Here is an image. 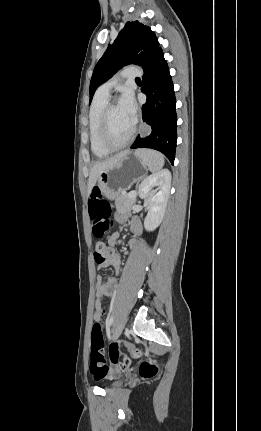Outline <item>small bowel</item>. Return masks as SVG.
Masks as SVG:
<instances>
[{
  "label": "small bowel",
  "mask_w": 261,
  "mask_h": 431,
  "mask_svg": "<svg viewBox=\"0 0 261 431\" xmlns=\"http://www.w3.org/2000/svg\"><path fill=\"white\" fill-rule=\"evenodd\" d=\"M119 220L124 221L125 218L119 217ZM129 226L132 233L134 234L140 233L141 224H140V220L137 217L130 219ZM118 238H119V234L117 232H114L108 237V243L111 246H115L118 242ZM129 245L133 250H137L141 247V244L135 239H131L129 242ZM97 265L99 269L105 268L108 266H113L116 269H119L120 258L117 253L113 252V254L110 257H108L104 262L98 263ZM115 285H116L115 278L110 277L106 281H104L100 274L97 275V282H96V292L98 294L97 299L100 302H103L106 299V297H112L114 295ZM104 314H105L104 305H101V303H96L95 309L93 312L94 321L101 322Z\"/></svg>",
  "instance_id": "small-bowel-1"
}]
</instances>
